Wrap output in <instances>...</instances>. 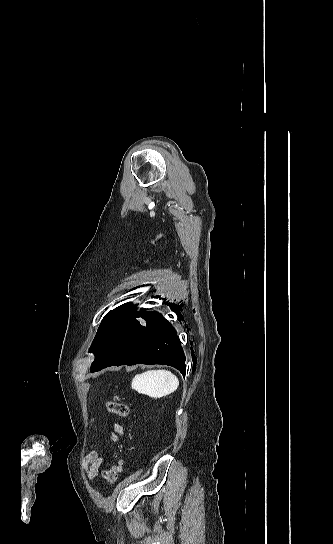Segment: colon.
<instances>
[{"instance_id": "colon-1", "label": "colon", "mask_w": 333, "mask_h": 544, "mask_svg": "<svg viewBox=\"0 0 333 544\" xmlns=\"http://www.w3.org/2000/svg\"><path fill=\"white\" fill-rule=\"evenodd\" d=\"M105 407L110 413L116 414L123 418L129 417L132 413L130 406L120 402L108 400L105 402ZM109 464L110 467L107 471H105L104 478L108 484L113 485L119 480L123 472L124 461L119 458H111Z\"/></svg>"}]
</instances>
